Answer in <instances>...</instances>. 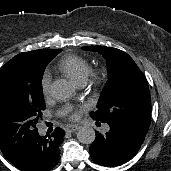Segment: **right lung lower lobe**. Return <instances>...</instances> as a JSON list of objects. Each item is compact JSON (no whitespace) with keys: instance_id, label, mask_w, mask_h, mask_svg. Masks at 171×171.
Here are the masks:
<instances>
[{"instance_id":"1","label":"right lung lower lobe","mask_w":171,"mask_h":171,"mask_svg":"<svg viewBox=\"0 0 171 171\" xmlns=\"http://www.w3.org/2000/svg\"><path fill=\"white\" fill-rule=\"evenodd\" d=\"M65 132L56 128L51 135L35 134L29 142L8 160L22 171H50L60 158L59 145Z\"/></svg>"}]
</instances>
